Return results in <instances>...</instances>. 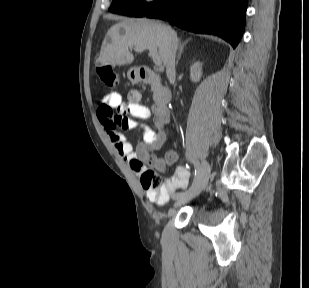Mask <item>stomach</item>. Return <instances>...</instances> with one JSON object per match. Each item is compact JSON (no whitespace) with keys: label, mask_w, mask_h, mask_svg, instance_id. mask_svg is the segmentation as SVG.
<instances>
[{"label":"stomach","mask_w":309,"mask_h":288,"mask_svg":"<svg viewBox=\"0 0 309 288\" xmlns=\"http://www.w3.org/2000/svg\"><path fill=\"white\" fill-rule=\"evenodd\" d=\"M127 77L132 83H138L141 80L139 72L136 68H131L127 72Z\"/></svg>","instance_id":"stomach-1"}]
</instances>
